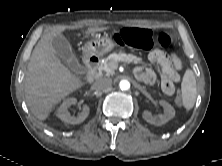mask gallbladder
Listing matches in <instances>:
<instances>
[{
  "label": "gallbladder",
  "instance_id": "bac80fb5",
  "mask_svg": "<svg viewBox=\"0 0 222 166\" xmlns=\"http://www.w3.org/2000/svg\"><path fill=\"white\" fill-rule=\"evenodd\" d=\"M52 46L56 52V55L60 57L71 69H81L69 41L63 35L59 34L55 36L52 40Z\"/></svg>",
  "mask_w": 222,
  "mask_h": 166
}]
</instances>
